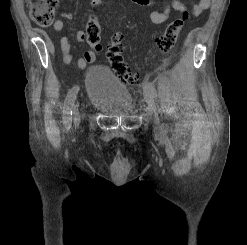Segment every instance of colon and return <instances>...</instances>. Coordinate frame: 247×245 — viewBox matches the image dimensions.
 <instances>
[{"instance_id":"colon-1","label":"colon","mask_w":247,"mask_h":245,"mask_svg":"<svg viewBox=\"0 0 247 245\" xmlns=\"http://www.w3.org/2000/svg\"><path fill=\"white\" fill-rule=\"evenodd\" d=\"M31 19L40 26L52 24L55 16V9L58 0H26ZM186 16L183 15L171 21L165 31L157 39L158 53L162 59H169L175 52L179 35L185 25ZM101 28L98 19L94 14L88 17L86 24V39L88 44L97 52L101 51L100 41ZM126 51L125 45L114 37L107 48L106 57L110 67L115 74L129 85H138L140 75L133 72L125 63L123 54Z\"/></svg>"}]
</instances>
